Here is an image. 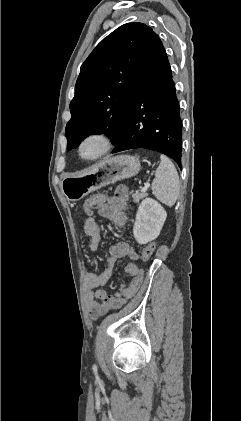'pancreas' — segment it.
Segmentation results:
<instances>
[{"label":"pancreas","instance_id":"obj_1","mask_svg":"<svg viewBox=\"0 0 241 421\" xmlns=\"http://www.w3.org/2000/svg\"><path fill=\"white\" fill-rule=\"evenodd\" d=\"M146 196H147L146 193H138V192H136V193H134L132 195L133 202L138 203L141 199L145 198Z\"/></svg>","mask_w":241,"mask_h":421}]
</instances>
